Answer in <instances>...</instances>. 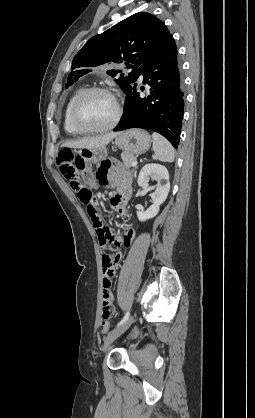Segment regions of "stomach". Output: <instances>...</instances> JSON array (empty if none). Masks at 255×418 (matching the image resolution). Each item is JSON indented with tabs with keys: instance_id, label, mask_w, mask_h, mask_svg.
Masks as SVG:
<instances>
[{
	"instance_id": "1",
	"label": "stomach",
	"mask_w": 255,
	"mask_h": 418,
	"mask_svg": "<svg viewBox=\"0 0 255 418\" xmlns=\"http://www.w3.org/2000/svg\"><path fill=\"white\" fill-rule=\"evenodd\" d=\"M116 145L131 155H140L148 151L151 146V138L148 132L141 129H131L119 133L116 137ZM80 155L86 162L99 163L106 159V148L82 149Z\"/></svg>"
}]
</instances>
